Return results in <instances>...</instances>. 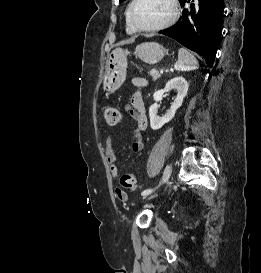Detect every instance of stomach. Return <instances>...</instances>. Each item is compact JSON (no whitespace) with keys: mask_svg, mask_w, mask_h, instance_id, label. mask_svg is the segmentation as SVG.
Here are the masks:
<instances>
[{"mask_svg":"<svg viewBox=\"0 0 261 273\" xmlns=\"http://www.w3.org/2000/svg\"><path fill=\"white\" fill-rule=\"evenodd\" d=\"M165 48L156 42H145L138 45L134 54L143 62L154 65L165 55ZM127 71V52L115 49L109 57L106 74L103 80L104 91L113 93L125 81Z\"/></svg>","mask_w":261,"mask_h":273,"instance_id":"obj_1","label":"stomach"}]
</instances>
